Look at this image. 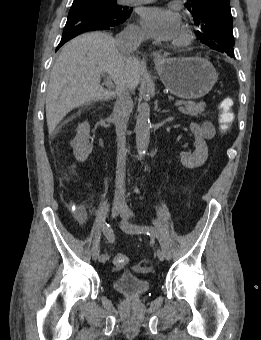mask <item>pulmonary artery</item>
Segmentation results:
<instances>
[{
    "label": "pulmonary artery",
    "instance_id": "1",
    "mask_svg": "<svg viewBox=\"0 0 261 340\" xmlns=\"http://www.w3.org/2000/svg\"><path fill=\"white\" fill-rule=\"evenodd\" d=\"M123 2H126V3H148V2H151L152 0H122Z\"/></svg>",
    "mask_w": 261,
    "mask_h": 340
}]
</instances>
